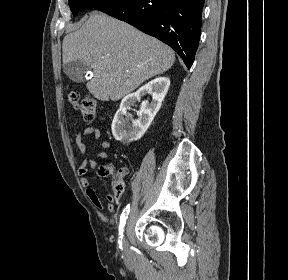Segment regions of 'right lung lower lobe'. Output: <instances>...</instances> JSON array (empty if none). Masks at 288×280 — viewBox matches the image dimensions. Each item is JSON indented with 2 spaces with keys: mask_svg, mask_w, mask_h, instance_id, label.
I'll use <instances>...</instances> for the list:
<instances>
[{
  "mask_svg": "<svg viewBox=\"0 0 288 280\" xmlns=\"http://www.w3.org/2000/svg\"><path fill=\"white\" fill-rule=\"evenodd\" d=\"M204 0H115L96 10L168 44L190 69L198 47Z\"/></svg>",
  "mask_w": 288,
  "mask_h": 280,
  "instance_id": "obj_1",
  "label": "right lung lower lobe"
}]
</instances>
